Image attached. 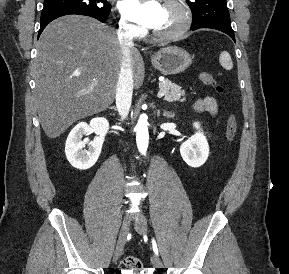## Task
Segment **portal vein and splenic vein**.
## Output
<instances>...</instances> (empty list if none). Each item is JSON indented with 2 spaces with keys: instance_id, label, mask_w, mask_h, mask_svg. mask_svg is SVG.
Instances as JSON below:
<instances>
[{
  "instance_id": "1",
  "label": "portal vein and splenic vein",
  "mask_w": 289,
  "mask_h": 274,
  "mask_svg": "<svg viewBox=\"0 0 289 274\" xmlns=\"http://www.w3.org/2000/svg\"><path fill=\"white\" fill-rule=\"evenodd\" d=\"M157 96L160 98V97H162V96H164V92H158V94H157Z\"/></svg>"
}]
</instances>
